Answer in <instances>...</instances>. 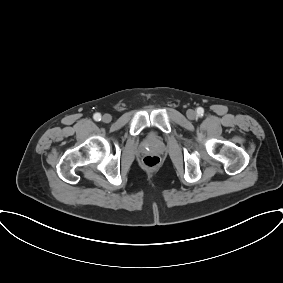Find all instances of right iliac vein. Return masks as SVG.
Instances as JSON below:
<instances>
[{"mask_svg":"<svg viewBox=\"0 0 283 283\" xmlns=\"http://www.w3.org/2000/svg\"><path fill=\"white\" fill-rule=\"evenodd\" d=\"M111 120H112V117H111L110 114H104V115L102 116V121H103L104 123H109Z\"/></svg>","mask_w":283,"mask_h":283,"instance_id":"63e3f726","label":"right iliac vein"}]
</instances>
